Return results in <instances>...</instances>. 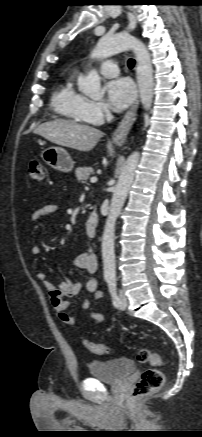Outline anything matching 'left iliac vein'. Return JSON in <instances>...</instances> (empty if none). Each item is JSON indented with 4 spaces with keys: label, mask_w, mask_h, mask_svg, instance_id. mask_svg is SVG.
<instances>
[{
    "label": "left iliac vein",
    "mask_w": 202,
    "mask_h": 437,
    "mask_svg": "<svg viewBox=\"0 0 202 437\" xmlns=\"http://www.w3.org/2000/svg\"><path fill=\"white\" fill-rule=\"evenodd\" d=\"M119 300H120V304L118 307L121 310H124L127 307V297L125 296V293L122 290H120L119 292Z\"/></svg>",
    "instance_id": "1"
}]
</instances>
